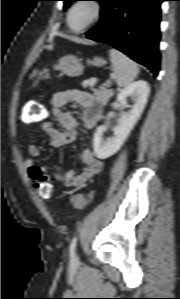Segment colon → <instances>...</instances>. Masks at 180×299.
Listing matches in <instances>:
<instances>
[{"label":"colon","instance_id":"obj_1","mask_svg":"<svg viewBox=\"0 0 180 299\" xmlns=\"http://www.w3.org/2000/svg\"><path fill=\"white\" fill-rule=\"evenodd\" d=\"M48 117V111L45 105L36 101H30L27 105L26 119L30 122L42 121ZM35 190L44 199H51L54 194V188L49 181L38 182L35 184ZM73 205L76 208H84L87 205V196L78 195L73 198Z\"/></svg>","mask_w":180,"mask_h":299}]
</instances>
